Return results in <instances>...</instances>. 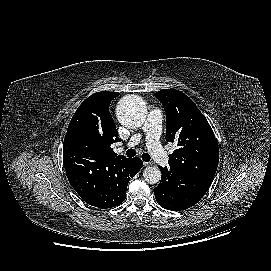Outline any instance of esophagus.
<instances>
[{
	"label": "esophagus",
	"instance_id": "obj_1",
	"mask_svg": "<svg viewBox=\"0 0 271 271\" xmlns=\"http://www.w3.org/2000/svg\"><path fill=\"white\" fill-rule=\"evenodd\" d=\"M143 164H144L145 167L152 166L151 162H144Z\"/></svg>",
	"mask_w": 271,
	"mask_h": 271
}]
</instances>
